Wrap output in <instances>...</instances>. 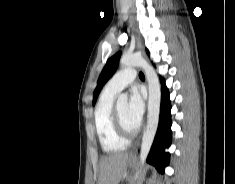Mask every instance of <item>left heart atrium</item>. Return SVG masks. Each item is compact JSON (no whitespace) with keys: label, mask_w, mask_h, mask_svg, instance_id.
<instances>
[{"label":"left heart atrium","mask_w":235,"mask_h":184,"mask_svg":"<svg viewBox=\"0 0 235 184\" xmlns=\"http://www.w3.org/2000/svg\"><path fill=\"white\" fill-rule=\"evenodd\" d=\"M144 114V100L138 89H133L130 93L128 104L129 120L139 128L142 124Z\"/></svg>","instance_id":"left-heart-atrium-1"}]
</instances>
